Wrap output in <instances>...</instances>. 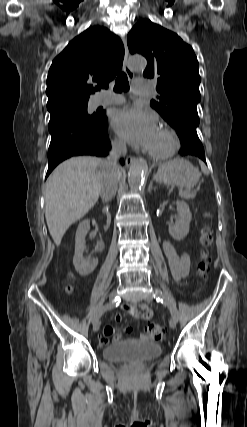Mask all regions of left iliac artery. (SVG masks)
<instances>
[{
    "mask_svg": "<svg viewBox=\"0 0 247 427\" xmlns=\"http://www.w3.org/2000/svg\"><path fill=\"white\" fill-rule=\"evenodd\" d=\"M153 296H154V298H156V300L158 302H161V303L167 305L170 312H171L172 317L177 319V310H176L175 306L168 299H166L164 297L163 293L160 290H158V289L155 290Z\"/></svg>",
    "mask_w": 247,
    "mask_h": 427,
    "instance_id": "left-iliac-artery-1",
    "label": "left iliac artery"
}]
</instances>
